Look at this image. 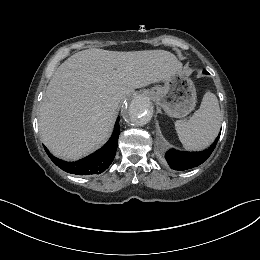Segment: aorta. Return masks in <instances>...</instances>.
Wrapping results in <instances>:
<instances>
[{"mask_svg":"<svg viewBox=\"0 0 260 260\" xmlns=\"http://www.w3.org/2000/svg\"><path fill=\"white\" fill-rule=\"evenodd\" d=\"M152 117L150 100L142 95L136 96L128 106V122L136 127L146 125Z\"/></svg>","mask_w":260,"mask_h":260,"instance_id":"aorta-1","label":"aorta"}]
</instances>
